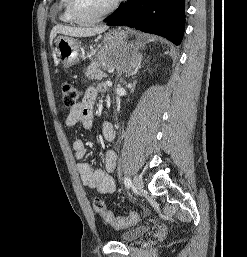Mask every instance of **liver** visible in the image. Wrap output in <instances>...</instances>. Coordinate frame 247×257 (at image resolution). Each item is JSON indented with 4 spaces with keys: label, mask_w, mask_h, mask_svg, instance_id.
<instances>
[{
    "label": "liver",
    "mask_w": 247,
    "mask_h": 257,
    "mask_svg": "<svg viewBox=\"0 0 247 257\" xmlns=\"http://www.w3.org/2000/svg\"><path fill=\"white\" fill-rule=\"evenodd\" d=\"M107 28V26L81 28L65 25H56L55 27H53L50 33V44H52L53 38L57 34H63L71 37H89L95 35L96 33H103L107 30Z\"/></svg>",
    "instance_id": "liver-1"
}]
</instances>
